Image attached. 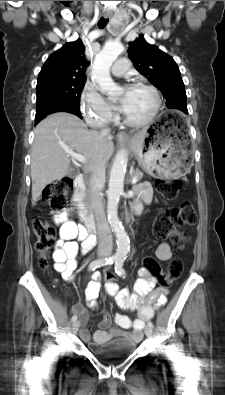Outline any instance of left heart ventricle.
Wrapping results in <instances>:
<instances>
[{
  "instance_id": "obj_1",
  "label": "left heart ventricle",
  "mask_w": 225,
  "mask_h": 395,
  "mask_svg": "<svg viewBox=\"0 0 225 395\" xmlns=\"http://www.w3.org/2000/svg\"><path fill=\"white\" fill-rule=\"evenodd\" d=\"M153 104V96L148 90L134 88L125 116L133 121L143 120L150 114Z\"/></svg>"
}]
</instances>
